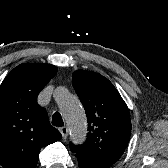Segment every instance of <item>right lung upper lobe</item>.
Masks as SVG:
<instances>
[{"label":"right lung upper lobe","instance_id":"1","mask_svg":"<svg viewBox=\"0 0 168 168\" xmlns=\"http://www.w3.org/2000/svg\"><path fill=\"white\" fill-rule=\"evenodd\" d=\"M51 64L24 63L15 67L0 85V165L35 168L40 149L62 138L49 123L37 96L55 76Z\"/></svg>","mask_w":168,"mask_h":168}]
</instances>
